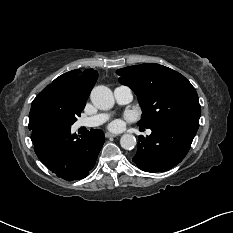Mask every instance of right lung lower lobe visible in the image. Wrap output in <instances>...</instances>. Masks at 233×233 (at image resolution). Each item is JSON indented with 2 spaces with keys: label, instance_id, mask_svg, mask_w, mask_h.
I'll list each match as a JSON object with an SVG mask.
<instances>
[{
  "label": "right lung lower lobe",
  "instance_id": "98d812e1",
  "mask_svg": "<svg viewBox=\"0 0 233 233\" xmlns=\"http://www.w3.org/2000/svg\"><path fill=\"white\" fill-rule=\"evenodd\" d=\"M70 129L52 126L29 129L39 160L67 181L89 174L105 141L104 133L99 129H92L81 138L72 135Z\"/></svg>",
  "mask_w": 233,
  "mask_h": 233
}]
</instances>
